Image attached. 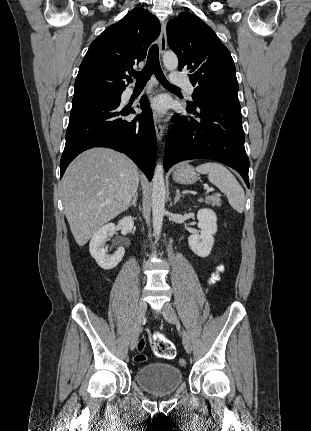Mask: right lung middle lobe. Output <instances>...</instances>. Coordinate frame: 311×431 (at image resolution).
I'll list each match as a JSON object with an SVG mask.
<instances>
[{
  "mask_svg": "<svg viewBox=\"0 0 311 431\" xmlns=\"http://www.w3.org/2000/svg\"><path fill=\"white\" fill-rule=\"evenodd\" d=\"M122 92H103L74 95L72 105L89 101H112L120 102Z\"/></svg>",
  "mask_w": 311,
  "mask_h": 431,
  "instance_id": "right-lung-middle-lobe-1",
  "label": "right lung middle lobe"
}]
</instances>
